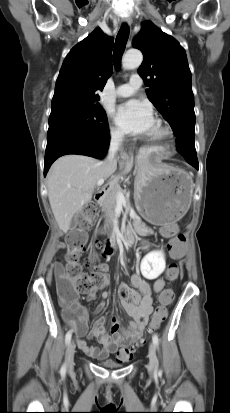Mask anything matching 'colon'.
Returning a JSON list of instances; mask_svg holds the SVG:
<instances>
[{"mask_svg":"<svg viewBox=\"0 0 230 413\" xmlns=\"http://www.w3.org/2000/svg\"><path fill=\"white\" fill-rule=\"evenodd\" d=\"M95 216L96 208L94 205L87 204L83 207L79 214L78 228L66 238L68 252L65 257V264L62 265L56 262L54 265L57 294L67 309L72 307L78 293L87 292L103 283V274L101 269L97 268L96 256L93 253H89L85 263L86 268L93 269L91 273L85 272L79 262L81 253L87 244L86 230L93 225ZM189 245V240L186 239L183 234L174 236L169 243L171 256L174 259L180 258L184 248H188ZM178 276L179 265L176 262L170 263L167 268L168 278L164 281L165 286H172L173 281H175ZM172 300L173 292L171 289H166L161 293L160 304L153 314L150 331L156 330L166 319L167 306L171 304ZM133 352L134 347L132 345L125 347V359L129 360Z\"/></svg>","mask_w":230,"mask_h":413,"instance_id":"colon-1","label":"colon"}]
</instances>
